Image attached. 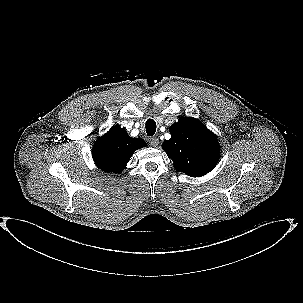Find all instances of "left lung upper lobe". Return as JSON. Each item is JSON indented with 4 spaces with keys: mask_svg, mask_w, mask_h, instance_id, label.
<instances>
[{
    "mask_svg": "<svg viewBox=\"0 0 303 303\" xmlns=\"http://www.w3.org/2000/svg\"><path fill=\"white\" fill-rule=\"evenodd\" d=\"M171 138L162 148L174 162V168L191 177L210 172L219 161L220 145L216 136L199 120L181 117L169 128Z\"/></svg>",
    "mask_w": 303,
    "mask_h": 303,
    "instance_id": "obj_1",
    "label": "left lung upper lobe"
}]
</instances>
